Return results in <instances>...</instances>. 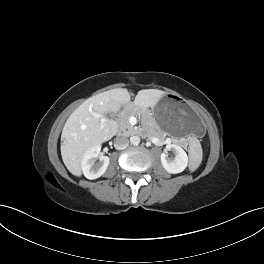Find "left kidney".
Listing matches in <instances>:
<instances>
[{"instance_id":"obj_1","label":"left kidney","mask_w":264,"mask_h":264,"mask_svg":"<svg viewBox=\"0 0 264 264\" xmlns=\"http://www.w3.org/2000/svg\"><path fill=\"white\" fill-rule=\"evenodd\" d=\"M167 151H172L175 157L169 158L166 153H162L160 156L161 163L164 169L172 174H177L185 170L188 165V156L186 152L176 144L166 145Z\"/></svg>"}]
</instances>
